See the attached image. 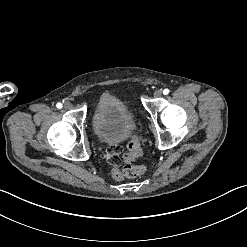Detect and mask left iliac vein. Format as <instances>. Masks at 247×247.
Wrapping results in <instances>:
<instances>
[{"label":"left iliac vein","mask_w":247,"mask_h":247,"mask_svg":"<svg viewBox=\"0 0 247 247\" xmlns=\"http://www.w3.org/2000/svg\"><path fill=\"white\" fill-rule=\"evenodd\" d=\"M162 96V91L161 90H156L153 94L154 98H160Z\"/></svg>","instance_id":"left-iliac-vein-1"}]
</instances>
